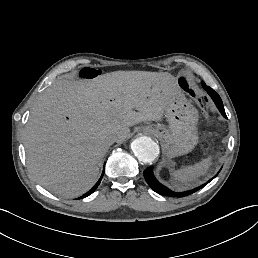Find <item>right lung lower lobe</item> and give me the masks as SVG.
Listing matches in <instances>:
<instances>
[{"instance_id": "98d812e1", "label": "right lung lower lobe", "mask_w": 258, "mask_h": 258, "mask_svg": "<svg viewBox=\"0 0 258 258\" xmlns=\"http://www.w3.org/2000/svg\"><path fill=\"white\" fill-rule=\"evenodd\" d=\"M102 177H103V173H102V176H101V178L99 179V181L96 183V185H95L90 191H88L86 194H84L83 196L79 197L78 199L87 197V196H89L90 194H92V193L96 190V188L98 187V185L100 184Z\"/></svg>"}]
</instances>
